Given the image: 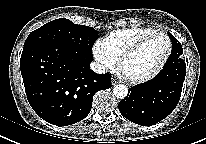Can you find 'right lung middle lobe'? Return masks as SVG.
Masks as SVG:
<instances>
[{"label":"right lung middle lobe","instance_id":"right-lung-middle-lobe-1","mask_svg":"<svg viewBox=\"0 0 206 144\" xmlns=\"http://www.w3.org/2000/svg\"><path fill=\"white\" fill-rule=\"evenodd\" d=\"M98 36V32L92 27L77 25L68 19L60 18L31 32L24 47L35 44L61 45L92 55V47Z\"/></svg>","mask_w":206,"mask_h":144}]
</instances>
